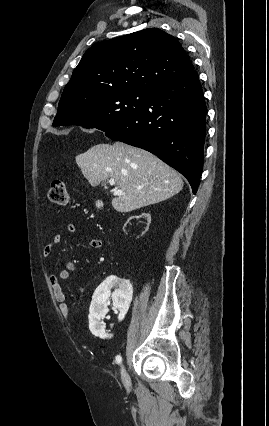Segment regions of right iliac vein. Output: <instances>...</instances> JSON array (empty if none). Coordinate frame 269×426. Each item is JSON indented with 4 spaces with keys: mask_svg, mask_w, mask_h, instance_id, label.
Instances as JSON below:
<instances>
[{
    "mask_svg": "<svg viewBox=\"0 0 269 426\" xmlns=\"http://www.w3.org/2000/svg\"><path fill=\"white\" fill-rule=\"evenodd\" d=\"M120 373H121V380H122V383L125 386V388L131 389V387H132L131 379H130V376L127 373L124 365L121 366Z\"/></svg>",
    "mask_w": 269,
    "mask_h": 426,
    "instance_id": "obj_1",
    "label": "right iliac vein"
}]
</instances>
